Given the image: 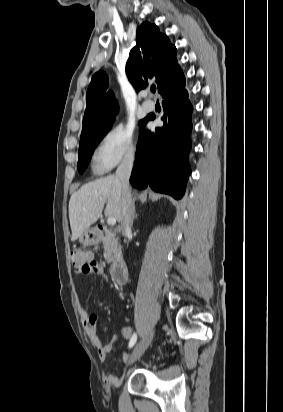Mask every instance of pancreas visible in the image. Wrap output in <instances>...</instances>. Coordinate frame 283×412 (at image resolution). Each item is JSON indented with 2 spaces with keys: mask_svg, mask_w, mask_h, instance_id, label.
<instances>
[{
  "mask_svg": "<svg viewBox=\"0 0 283 412\" xmlns=\"http://www.w3.org/2000/svg\"><path fill=\"white\" fill-rule=\"evenodd\" d=\"M104 246V258L108 263L115 260L118 255V249L114 245L113 241L110 239H105L103 242Z\"/></svg>",
  "mask_w": 283,
  "mask_h": 412,
  "instance_id": "obj_1",
  "label": "pancreas"
}]
</instances>
